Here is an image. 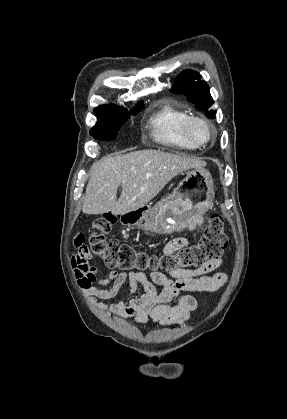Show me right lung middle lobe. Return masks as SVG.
<instances>
[{
  "mask_svg": "<svg viewBox=\"0 0 287 419\" xmlns=\"http://www.w3.org/2000/svg\"><path fill=\"white\" fill-rule=\"evenodd\" d=\"M144 107V106H143ZM143 107L135 108L131 114L136 115ZM97 123L90 130V135L97 140H113L120 129L130 117V113L126 110H118L114 112H106L97 114Z\"/></svg>",
  "mask_w": 287,
  "mask_h": 419,
  "instance_id": "dd1d6c3e",
  "label": "right lung middle lobe"
}]
</instances>
